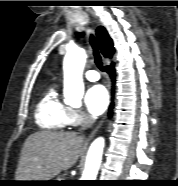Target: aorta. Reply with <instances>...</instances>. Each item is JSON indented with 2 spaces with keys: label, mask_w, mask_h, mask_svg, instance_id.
<instances>
[{
  "label": "aorta",
  "mask_w": 178,
  "mask_h": 186,
  "mask_svg": "<svg viewBox=\"0 0 178 186\" xmlns=\"http://www.w3.org/2000/svg\"><path fill=\"white\" fill-rule=\"evenodd\" d=\"M86 53L82 48H74L67 51L64 62V97L67 103L72 105L81 104L84 94L83 69L86 62ZM105 140L103 137L96 138L88 151L85 168L81 180H96L102 160Z\"/></svg>",
  "instance_id": "762f6f07"
}]
</instances>
